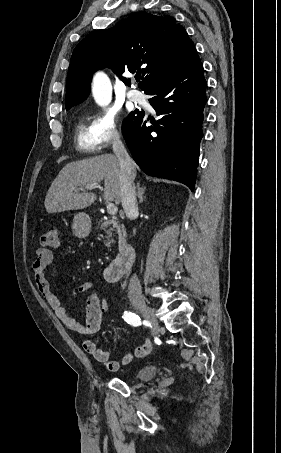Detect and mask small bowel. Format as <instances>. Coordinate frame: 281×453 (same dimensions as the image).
<instances>
[{"mask_svg": "<svg viewBox=\"0 0 281 453\" xmlns=\"http://www.w3.org/2000/svg\"><path fill=\"white\" fill-rule=\"evenodd\" d=\"M53 260V254L50 250L44 247H37L33 254V273L35 276L36 286L47 301L51 309L56 313L58 319L70 330L78 335H90L101 328L102 317L108 310V302L101 298L95 290V285L91 282H85L78 286L77 293L87 294L85 323L76 320L64 307L61 305L57 295L52 291L50 281L46 276V270ZM84 350L92 356L96 361L104 364L108 370H118L122 365L129 364L134 356L147 355L151 347L150 341L134 347L127 351L120 359H110L108 351L98 347L91 340H84L82 343Z\"/></svg>", "mask_w": 281, "mask_h": 453, "instance_id": "1", "label": "small bowel"}]
</instances>
